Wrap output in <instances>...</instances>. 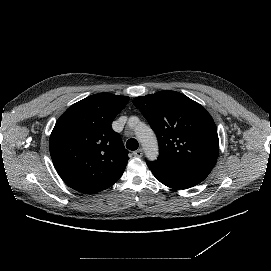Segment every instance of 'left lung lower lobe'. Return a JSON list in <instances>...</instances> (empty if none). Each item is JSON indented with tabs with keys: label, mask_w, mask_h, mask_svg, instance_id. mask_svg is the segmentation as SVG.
I'll list each match as a JSON object with an SVG mask.
<instances>
[{
	"label": "left lung lower lobe",
	"mask_w": 271,
	"mask_h": 271,
	"mask_svg": "<svg viewBox=\"0 0 271 271\" xmlns=\"http://www.w3.org/2000/svg\"><path fill=\"white\" fill-rule=\"evenodd\" d=\"M153 175L164 185L173 189H187L202 182L212 167L158 157L147 162Z\"/></svg>",
	"instance_id": "0a47b994"
}]
</instances>
